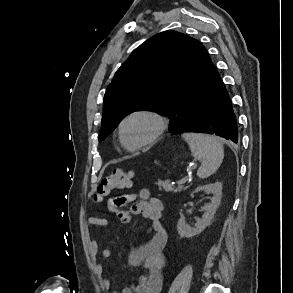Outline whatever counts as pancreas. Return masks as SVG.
I'll use <instances>...</instances> for the list:
<instances>
[{"mask_svg":"<svg viewBox=\"0 0 293 293\" xmlns=\"http://www.w3.org/2000/svg\"><path fill=\"white\" fill-rule=\"evenodd\" d=\"M157 185H158L160 190L163 189L166 192H174V193H176V192H181V191L186 189L183 186L176 187L175 185L170 184V180H164V181L159 180L157 182Z\"/></svg>","mask_w":293,"mask_h":293,"instance_id":"cf45deb5","label":"pancreas"}]
</instances>
